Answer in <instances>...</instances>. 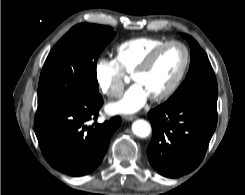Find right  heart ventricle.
I'll return each mask as SVG.
<instances>
[{
    "instance_id": "e07e8e85",
    "label": "right heart ventricle",
    "mask_w": 245,
    "mask_h": 195,
    "mask_svg": "<svg viewBox=\"0 0 245 195\" xmlns=\"http://www.w3.org/2000/svg\"><path fill=\"white\" fill-rule=\"evenodd\" d=\"M165 42L149 37L127 40L117 46L115 60L124 73L131 74L154 48Z\"/></svg>"
}]
</instances>
